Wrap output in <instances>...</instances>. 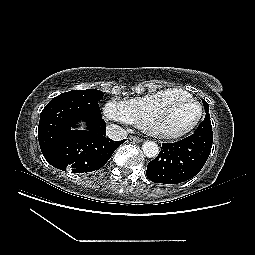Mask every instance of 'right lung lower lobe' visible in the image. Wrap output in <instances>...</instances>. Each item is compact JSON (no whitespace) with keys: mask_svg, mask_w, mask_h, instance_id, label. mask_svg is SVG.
<instances>
[{"mask_svg":"<svg viewBox=\"0 0 255 255\" xmlns=\"http://www.w3.org/2000/svg\"><path fill=\"white\" fill-rule=\"evenodd\" d=\"M104 120L88 124L86 130L70 128L53 144L43 150V156L52 166L72 173H87L100 169L125 140L106 138Z\"/></svg>","mask_w":255,"mask_h":255,"instance_id":"obj_1","label":"right lung lower lobe"}]
</instances>
